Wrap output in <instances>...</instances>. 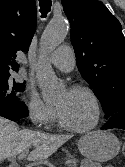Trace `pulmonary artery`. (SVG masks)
Here are the masks:
<instances>
[{
	"mask_svg": "<svg viewBox=\"0 0 125 167\" xmlns=\"http://www.w3.org/2000/svg\"><path fill=\"white\" fill-rule=\"evenodd\" d=\"M49 62L61 71L73 70L75 57L72 48L68 45L61 46L50 56Z\"/></svg>",
	"mask_w": 125,
	"mask_h": 167,
	"instance_id": "obj_1",
	"label": "pulmonary artery"
}]
</instances>
